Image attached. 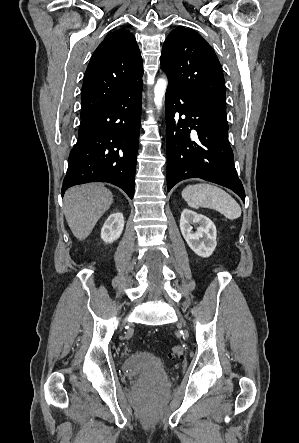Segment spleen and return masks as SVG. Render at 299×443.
<instances>
[{"label":"spleen","mask_w":299,"mask_h":443,"mask_svg":"<svg viewBox=\"0 0 299 443\" xmlns=\"http://www.w3.org/2000/svg\"><path fill=\"white\" fill-rule=\"evenodd\" d=\"M182 197L194 209H215L231 220L241 216V207L236 200L223 189L211 184L189 185L182 191Z\"/></svg>","instance_id":"1"}]
</instances>
